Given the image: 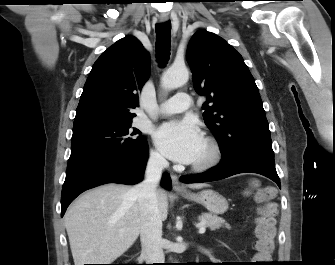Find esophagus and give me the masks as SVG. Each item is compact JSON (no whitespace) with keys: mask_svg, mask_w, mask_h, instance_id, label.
Returning <instances> with one entry per match:
<instances>
[{"mask_svg":"<svg viewBox=\"0 0 335 265\" xmlns=\"http://www.w3.org/2000/svg\"><path fill=\"white\" fill-rule=\"evenodd\" d=\"M161 22H167L169 20V16L166 13H162L160 14L159 17ZM171 179H172V184H173V189L176 192H182L185 191L186 189L180 184L177 175L172 174L171 175Z\"/></svg>","mask_w":335,"mask_h":265,"instance_id":"1","label":"esophagus"}]
</instances>
